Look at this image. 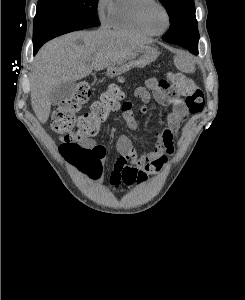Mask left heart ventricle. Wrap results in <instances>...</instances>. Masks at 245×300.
<instances>
[{
	"instance_id": "left-heart-ventricle-1",
	"label": "left heart ventricle",
	"mask_w": 245,
	"mask_h": 300,
	"mask_svg": "<svg viewBox=\"0 0 245 300\" xmlns=\"http://www.w3.org/2000/svg\"><path fill=\"white\" fill-rule=\"evenodd\" d=\"M146 19L149 26L153 29H161L165 25L163 12L156 6H150L146 12Z\"/></svg>"
}]
</instances>
